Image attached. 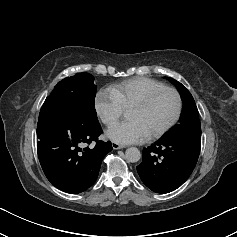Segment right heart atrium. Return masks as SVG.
Here are the masks:
<instances>
[{
    "instance_id": "obj_1",
    "label": "right heart atrium",
    "mask_w": 237,
    "mask_h": 237,
    "mask_svg": "<svg viewBox=\"0 0 237 237\" xmlns=\"http://www.w3.org/2000/svg\"><path fill=\"white\" fill-rule=\"evenodd\" d=\"M94 106L97 115L107 126L114 124L123 112V105L111 88L102 89L96 94Z\"/></svg>"
}]
</instances>
